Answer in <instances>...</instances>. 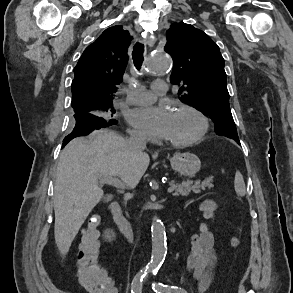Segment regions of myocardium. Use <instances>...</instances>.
<instances>
[{"mask_svg":"<svg viewBox=\"0 0 293 293\" xmlns=\"http://www.w3.org/2000/svg\"><path fill=\"white\" fill-rule=\"evenodd\" d=\"M175 111L189 112V113L193 114L199 120L200 128H199L198 133L190 139L183 140V141H169V140H167L166 144L171 147L182 148V147H189V146L195 145L198 142H200L201 140H203V138L206 136V134L209 130V121H208L207 117L201 111L196 109L195 107L190 106V105H185V104L178 106Z\"/></svg>","mask_w":293,"mask_h":293,"instance_id":"f54148a6","label":"myocardium"}]
</instances>
